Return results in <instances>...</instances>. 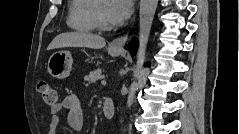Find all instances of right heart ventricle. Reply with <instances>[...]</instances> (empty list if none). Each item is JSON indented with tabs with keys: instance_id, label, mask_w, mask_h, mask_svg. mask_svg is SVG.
Returning <instances> with one entry per match:
<instances>
[{
	"instance_id": "obj_1",
	"label": "right heart ventricle",
	"mask_w": 239,
	"mask_h": 134,
	"mask_svg": "<svg viewBox=\"0 0 239 134\" xmlns=\"http://www.w3.org/2000/svg\"><path fill=\"white\" fill-rule=\"evenodd\" d=\"M95 0H72L68 9L67 24L79 32H92L96 29L92 9Z\"/></svg>"
}]
</instances>
